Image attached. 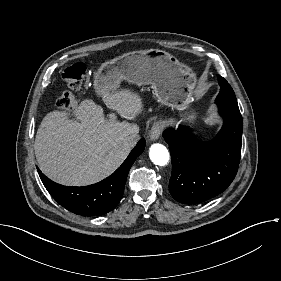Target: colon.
Here are the masks:
<instances>
[{"label": "colon", "mask_w": 281, "mask_h": 281, "mask_svg": "<svg viewBox=\"0 0 281 281\" xmlns=\"http://www.w3.org/2000/svg\"><path fill=\"white\" fill-rule=\"evenodd\" d=\"M87 76V66L83 62H77L67 67L62 78L69 87H79ZM77 100L70 91H65L57 98V106L62 111L72 110L76 106Z\"/></svg>", "instance_id": "5ec220e1"}]
</instances>
